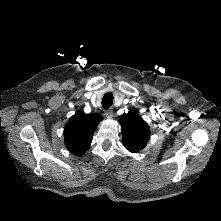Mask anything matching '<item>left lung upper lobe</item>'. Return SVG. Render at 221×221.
Masks as SVG:
<instances>
[{
  "mask_svg": "<svg viewBox=\"0 0 221 221\" xmlns=\"http://www.w3.org/2000/svg\"><path fill=\"white\" fill-rule=\"evenodd\" d=\"M118 121L122 127V141L125 148L132 153L142 150L150 137L148 124L135 110H129Z\"/></svg>",
  "mask_w": 221,
  "mask_h": 221,
  "instance_id": "obj_1",
  "label": "left lung upper lobe"
}]
</instances>
